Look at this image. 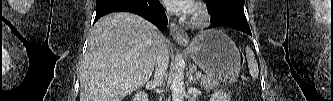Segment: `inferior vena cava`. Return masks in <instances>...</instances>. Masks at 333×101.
Returning a JSON list of instances; mask_svg holds the SVG:
<instances>
[{
    "instance_id": "obj_1",
    "label": "inferior vena cava",
    "mask_w": 333,
    "mask_h": 101,
    "mask_svg": "<svg viewBox=\"0 0 333 101\" xmlns=\"http://www.w3.org/2000/svg\"><path fill=\"white\" fill-rule=\"evenodd\" d=\"M169 56L168 50L165 46H163L157 56L156 59V68L154 73V82L155 84H162L166 71L168 69Z\"/></svg>"
}]
</instances>
